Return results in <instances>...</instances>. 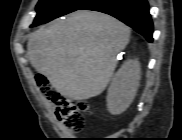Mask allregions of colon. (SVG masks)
<instances>
[{
    "mask_svg": "<svg viewBox=\"0 0 182 140\" xmlns=\"http://www.w3.org/2000/svg\"><path fill=\"white\" fill-rule=\"evenodd\" d=\"M37 84L42 94L54 105L57 118L61 120L65 127L73 132L83 128L84 115L89 113L86 103H72L55 92L53 87L43 76H37Z\"/></svg>",
    "mask_w": 182,
    "mask_h": 140,
    "instance_id": "1",
    "label": "colon"
}]
</instances>
